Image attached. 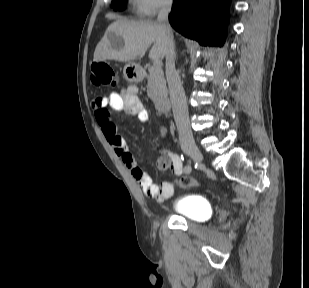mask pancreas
Returning <instances> with one entry per match:
<instances>
[{
    "mask_svg": "<svg viewBox=\"0 0 309 288\" xmlns=\"http://www.w3.org/2000/svg\"><path fill=\"white\" fill-rule=\"evenodd\" d=\"M148 71L149 76L147 77V95L154 103H159L162 99L166 98L168 94L164 73L161 68L156 69L151 66H148Z\"/></svg>",
    "mask_w": 309,
    "mask_h": 288,
    "instance_id": "cf45deb5",
    "label": "pancreas"
}]
</instances>
